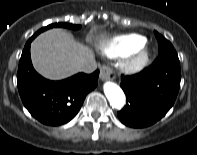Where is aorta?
Masks as SVG:
<instances>
[{
  "label": "aorta",
  "mask_w": 197,
  "mask_h": 155,
  "mask_svg": "<svg viewBox=\"0 0 197 155\" xmlns=\"http://www.w3.org/2000/svg\"><path fill=\"white\" fill-rule=\"evenodd\" d=\"M104 93L112 107L121 109L125 105V94L117 84L106 82L104 84Z\"/></svg>",
  "instance_id": "obj_1"
}]
</instances>
